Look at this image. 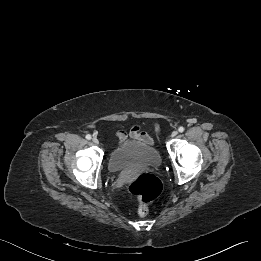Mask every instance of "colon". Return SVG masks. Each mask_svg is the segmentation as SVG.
<instances>
[{
	"label": "colon",
	"mask_w": 261,
	"mask_h": 261,
	"mask_svg": "<svg viewBox=\"0 0 261 261\" xmlns=\"http://www.w3.org/2000/svg\"><path fill=\"white\" fill-rule=\"evenodd\" d=\"M127 190L139 199L138 215L146 217L149 213V204L162 192V183L156 176L142 173L128 183Z\"/></svg>",
	"instance_id": "1"
}]
</instances>
